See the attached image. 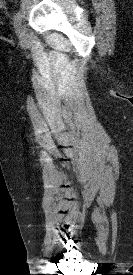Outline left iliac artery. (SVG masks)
<instances>
[{
	"label": "left iliac artery",
	"instance_id": "left-iliac-artery-1",
	"mask_svg": "<svg viewBox=\"0 0 133 275\" xmlns=\"http://www.w3.org/2000/svg\"><path fill=\"white\" fill-rule=\"evenodd\" d=\"M20 19H21V13H20V11H17L14 14V17H13L14 23H16L17 21H19Z\"/></svg>",
	"mask_w": 133,
	"mask_h": 275
}]
</instances>
